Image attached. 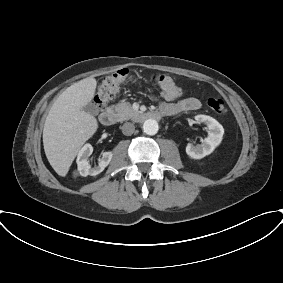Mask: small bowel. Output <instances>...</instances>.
Returning <instances> with one entry per match:
<instances>
[{
	"label": "small bowel",
	"instance_id": "obj_1",
	"mask_svg": "<svg viewBox=\"0 0 283 283\" xmlns=\"http://www.w3.org/2000/svg\"><path fill=\"white\" fill-rule=\"evenodd\" d=\"M166 99L173 100L175 98L166 97ZM199 108H200V101L195 97H187L173 104L164 103L161 105L162 111L163 112L170 111L171 113L170 115L192 112L198 110Z\"/></svg>",
	"mask_w": 283,
	"mask_h": 283
}]
</instances>
